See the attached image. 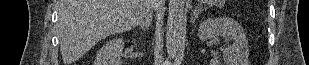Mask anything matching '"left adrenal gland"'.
Wrapping results in <instances>:
<instances>
[{
  "mask_svg": "<svg viewBox=\"0 0 309 65\" xmlns=\"http://www.w3.org/2000/svg\"><path fill=\"white\" fill-rule=\"evenodd\" d=\"M201 13L200 9L195 8L193 10V14H192V23H195L196 19L199 17V14Z\"/></svg>",
  "mask_w": 309,
  "mask_h": 65,
  "instance_id": "1",
  "label": "left adrenal gland"
}]
</instances>
